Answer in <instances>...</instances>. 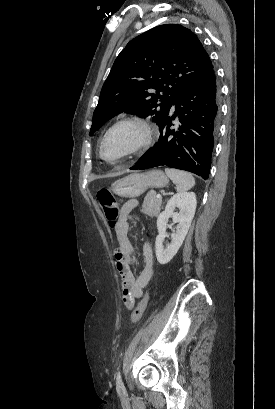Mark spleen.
<instances>
[{
    "label": "spleen",
    "instance_id": "spleen-1",
    "mask_svg": "<svg viewBox=\"0 0 275 409\" xmlns=\"http://www.w3.org/2000/svg\"><path fill=\"white\" fill-rule=\"evenodd\" d=\"M165 172L172 182L176 184L178 192H185L195 184V178L190 172L185 170H176V168H165Z\"/></svg>",
    "mask_w": 275,
    "mask_h": 409
}]
</instances>
